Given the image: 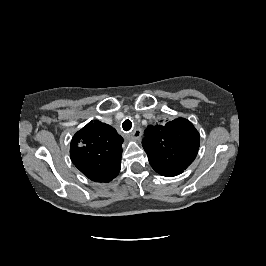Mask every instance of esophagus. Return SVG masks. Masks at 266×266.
<instances>
[{"instance_id": "obj_1", "label": "esophagus", "mask_w": 266, "mask_h": 266, "mask_svg": "<svg viewBox=\"0 0 266 266\" xmlns=\"http://www.w3.org/2000/svg\"><path fill=\"white\" fill-rule=\"evenodd\" d=\"M142 136V130L139 128L134 129L132 132V138L135 140H140Z\"/></svg>"}]
</instances>
